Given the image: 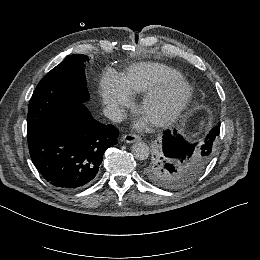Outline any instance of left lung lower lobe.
I'll return each instance as SVG.
<instances>
[{
    "instance_id": "0a47b994",
    "label": "left lung lower lobe",
    "mask_w": 260,
    "mask_h": 260,
    "mask_svg": "<svg viewBox=\"0 0 260 260\" xmlns=\"http://www.w3.org/2000/svg\"><path fill=\"white\" fill-rule=\"evenodd\" d=\"M220 133V124L212 128L207 135L204 144L197 145L186 142L181 135L177 134L176 130L171 132L166 130L163 133L162 138V150L167 159H180L194 153L198 148L203 153H210L213 150V146L216 138Z\"/></svg>"
}]
</instances>
